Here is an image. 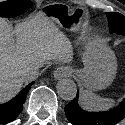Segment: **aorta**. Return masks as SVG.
I'll list each match as a JSON object with an SVG mask.
<instances>
[{
    "label": "aorta",
    "instance_id": "aorta-1",
    "mask_svg": "<svg viewBox=\"0 0 125 125\" xmlns=\"http://www.w3.org/2000/svg\"><path fill=\"white\" fill-rule=\"evenodd\" d=\"M57 93L63 99L71 101L76 97L77 87L71 79H62L57 83Z\"/></svg>",
    "mask_w": 125,
    "mask_h": 125
}]
</instances>
